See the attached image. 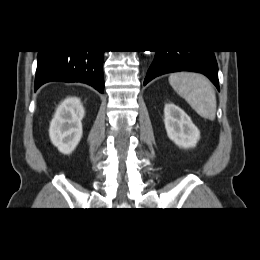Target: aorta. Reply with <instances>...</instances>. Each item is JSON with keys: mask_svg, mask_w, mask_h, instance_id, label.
I'll return each instance as SVG.
<instances>
[{"mask_svg": "<svg viewBox=\"0 0 260 260\" xmlns=\"http://www.w3.org/2000/svg\"><path fill=\"white\" fill-rule=\"evenodd\" d=\"M146 54H150V51H145Z\"/></svg>", "mask_w": 260, "mask_h": 260, "instance_id": "obj_1", "label": "aorta"}]
</instances>
